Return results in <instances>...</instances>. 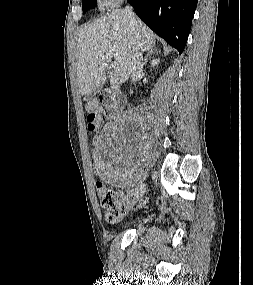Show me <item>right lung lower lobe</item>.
I'll list each match as a JSON object with an SVG mask.
<instances>
[{
  "instance_id": "right-lung-lower-lobe-1",
  "label": "right lung lower lobe",
  "mask_w": 253,
  "mask_h": 285,
  "mask_svg": "<svg viewBox=\"0 0 253 285\" xmlns=\"http://www.w3.org/2000/svg\"><path fill=\"white\" fill-rule=\"evenodd\" d=\"M135 13L181 54L198 0H129Z\"/></svg>"
}]
</instances>
